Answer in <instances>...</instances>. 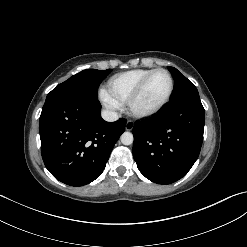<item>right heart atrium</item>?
<instances>
[{"mask_svg":"<svg viewBox=\"0 0 247 247\" xmlns=\"http://www.w3.org/2000/svg\"><path fill=\"white\" fill-rule=\"evenodd\" d=\"M100 97H101L103 104L108 109L116 111V110H119L121 108V104L115 98H113L108 92H106L105 90L101 91Z\"/></svg>","mask_w":247,"mask_h":247,"instance_id":"obj_1","label":"right heart atrium"}]
</instances>
